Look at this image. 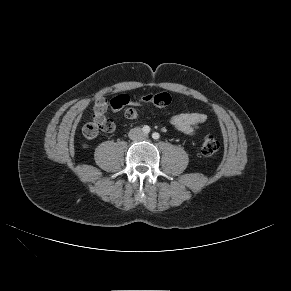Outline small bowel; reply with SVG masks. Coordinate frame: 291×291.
Listing matches in <instances>:
<instances>
[{
    "instance_id": "1",
    "label": "small bowel",
    "mask_w": 291,
    "mask_h": 291,
    "mask_svg": "<svg viewBox=\"0 0 291 291\" xmlns=\"http://www.w3.org/2000/svg\"><path fill=\"white\" fill-rule=\"evenodd\" d=\"M111 101H107L105 98H99L96 100L93 107L94 114L104 115L110 106ZM139 105H130L129 107H124V115L127 119L133 120L138 117L137 108ZM172 126L178 131L193 136L195 135L202 126L207 122V116L199 112H190V113H179L174 115L171 118Z\"/></svg>"
}]
</instances>
